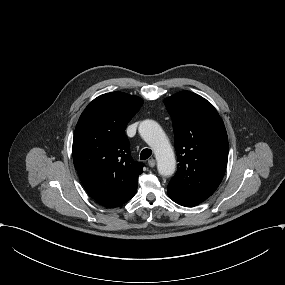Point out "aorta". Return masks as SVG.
<instances>
[{
  "instance_id": "1",
  "label": "aorta",
  "mask_w": 285,
  "mask_h": 285,
  "mask_svg": "<svg viewBox=\"0 0 285 285\" xmlns=\"http://www.w3.org/2000/svg\"><path fill=\"white\" fill-rule=\"evenodd\" d=\"M138 130L141 137L154 151L158 172L165 177L171 176L175 171V156L160 125L154 120H144L140 123Z\"/></svg>"
}]
</instances>
